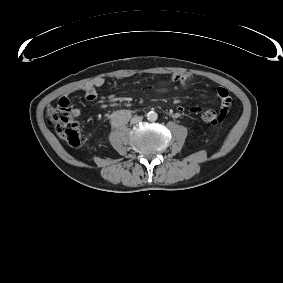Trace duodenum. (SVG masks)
<instances>
[{
    "instance_id": "410a0bca",
    "label": "duodenum",
    "mask_w": 283,
    "mask_h": 283,
    "mask_svg": "<svg viewBox=\"0 0 283 283\" xmlns=\"http://www.w3.org/2000/svg\"><path fill=\"white\" fill-rule=\"evenodd\" d=\"M122 114H123V115H126L127 117H129V116H130V113H127V112H125V111H124V112H122Z\"/></svg>"
}]
</instances>
